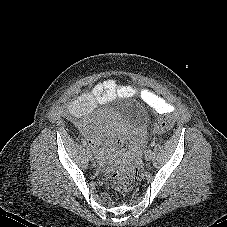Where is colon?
Returning a JSON list of instances; mask_svg holds the SVG:
<instances>
[{
  "instance_id": "colon-1",
  "label": "colon",
  "mask_w": 227,
  "mask_h": 227,
  "mask_svg": "<svg viewBox=\"0 0 227 227\" xmlns=\"http://www.w3.org/2000/svg\"><path fill=\"white\" fill-rule=\"evenodd\" d=\"M174 120L173 115H164L154 127V134L158 137L163 136L166 130L172 127ZM137 175L138 166L135 162H132L124 169L113 172L110 178L111 186L119 195H125L132 188Z\"/></svg>"
}]
</instances>
